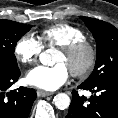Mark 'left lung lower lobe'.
<instances>
[{"label":"left lung lower lobe","mask_w":118,"mask_h":118,"mask_svg":"<svg viewBox=\"0 0 118 118\" xmlns=\"http://www.w3.org/2000/svg\"><path fill=\"white\" fill-rule=\"evenodd\" d=\"M79 89L95 93L89 99L72 91V101L65 118H118V78L89 85L82 83Z\"/></svg>","instance_id":"0a47b994"}]
</instances>
